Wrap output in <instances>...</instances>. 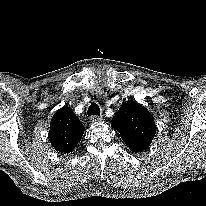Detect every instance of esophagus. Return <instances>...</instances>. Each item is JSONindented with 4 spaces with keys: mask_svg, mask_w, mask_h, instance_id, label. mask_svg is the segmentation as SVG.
<instances>
[{
    "mask_svg": "<svg viewBox=\"0 0 206 206\" xmlns=\"http://www.w3.org/2000/svg\"><path fill=\"white\" fill-rule=\"evenodd\" d=\"M102 119H103L102 116H91L90 122H98V121H101Z\"/></svg>",
    "mask_w": 206,
    "mask_h": 206,
    "instance_id": "obj_1",
    "label": "esophagus"
}]
</instances>
